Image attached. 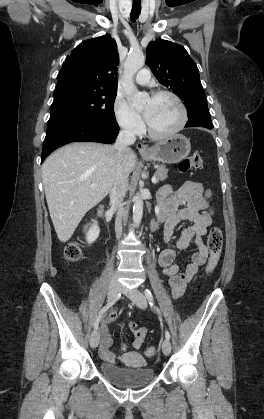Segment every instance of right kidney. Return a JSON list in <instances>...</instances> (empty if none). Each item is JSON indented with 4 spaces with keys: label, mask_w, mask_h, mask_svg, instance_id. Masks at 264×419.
Returning a JSON list of instances; mask_svg holds the SVG:
<instances>
[{
    "label": "right kidney",
    "mask_w": 264,
    "mask_h": 419,
    "mask_svg": "<svg viewBox=\"0 0 264 419\" xmlns=\"http://www.w3.org/2000/svg\"><path fill=\"white\" fill-rule=\"evenodd\" d=\"M100 229L97 224H93L87 232V242L89 244L93 243L99 236Z\"/></svg>",
    "instance_id": "right-kidney-1"
}]
</instances>
